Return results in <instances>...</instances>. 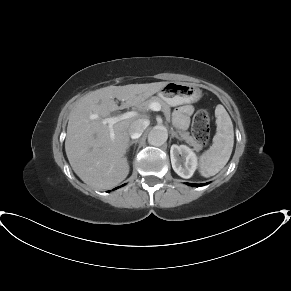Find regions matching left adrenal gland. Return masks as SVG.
I'll list each match as a JSON object with an SVG mask.
<instances>
[{"label": "left adrenal gland", "mask_w": 291, "mask_h": 291, "mask_svg": "<svg viewBox=\"0 0 291 291\" xmlns=\"http://www.w3.org/2000/svg\"><path fill=\"white\" fill-rule=\"evenodd\" d=\"M172 137H176L177 139H181L178 134L174 131H172Z\"/></svg>", "instance_id": "left-adrenal-gland-1"}]
</instances>
